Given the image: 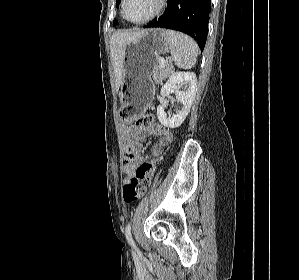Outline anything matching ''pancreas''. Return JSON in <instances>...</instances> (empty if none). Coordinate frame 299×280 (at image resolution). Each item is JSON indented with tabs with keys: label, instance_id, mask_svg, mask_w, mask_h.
<instances>
[{
	"label": "pancreas",
	"instance_id": "obj_1",
	"mask_svg": "<svg viewBox=\"0 0 299 280\" xmlns=\"http://www.w3.org/2000/svg\"><path fill=\"white\" fill-rule=\"evenodd\" d=\"M171 73V69L169 67V64L166 63L165 67L162 68L160 66V61H158V63L156 64L152 77H153V81L156 84H162V81L169 76V74Z\"/></svg>",
	"mask_w": 299,
	"mask_h": 280
}]
</instances>
